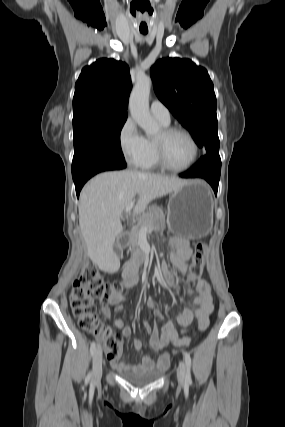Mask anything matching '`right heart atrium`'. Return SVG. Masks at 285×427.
Returning <instances> with one entry per match:
<instances>
[{"mask_svg":"<svg viewBox=\"0 0 285 427\" xmlns=\"http://www.w3.org/2000/svg\"><path fill=\"white\" fill-rule=\"evenodd\" d=\"M118 142L127 163L137 165L146 150V138L140 132L133 118L128 117L122 124Z\"/></svg>","mask_w":285,"mask_h":427,"instance_id":"right-heart-atrium-1","label":"right heart atrium"}]
</instances>
